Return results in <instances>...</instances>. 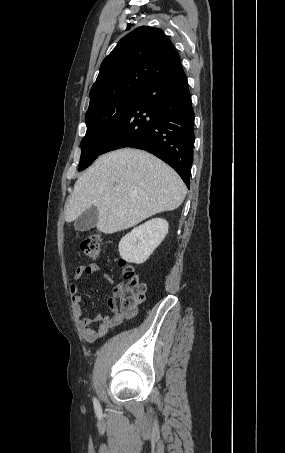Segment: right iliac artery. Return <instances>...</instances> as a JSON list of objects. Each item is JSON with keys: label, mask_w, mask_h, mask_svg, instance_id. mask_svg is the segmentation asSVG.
Segmentation results:
<instances>
[{"label": "right iliac artery", "mask_w": 285, "mask_h": 453, "mask_svg": "<svg viewBox=\"0 0 285 453\" xmlns=\"http://www.w3.org/2000/svg\"><path fill=\"white\" fill-rule=\"evenodd\" d=\"M93 403H94V408H95L96 412L100 413V411H101L100 404L96 398L93 399Z\"/></svg>", "instance_id": "1"}]
</instances>
